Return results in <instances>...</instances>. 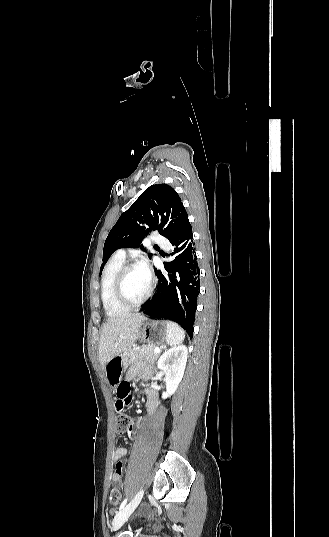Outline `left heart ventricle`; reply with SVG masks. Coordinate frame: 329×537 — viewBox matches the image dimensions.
Segmentation results:
<instances>
[{
    "label": "left heart ventricle",
    "instance_id": "b2bd125f",
    "mask_svg": "<svg viewBox=\"0 0 329 537\" xmlns=\"http://www.w3.org/2000/svg\"><path fill=\"white\" fill-rule=\"evenodd\" d=\"M149 286L147 280L138 267L129 271L124 280V293L128 300L135 302L143 297Z\"/></svg>",
    "mask_w": 329,
    "mask_h": 537
}]
</instances>
